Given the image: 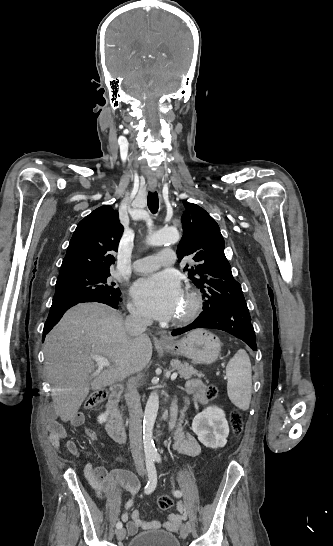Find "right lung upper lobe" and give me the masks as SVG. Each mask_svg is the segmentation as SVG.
<instances>
[{"label": "right lung upper lobe", "mask_w": 333, "mask_h": 546, "mask_svg": "<svg viewBox=\"0 0 333 546\" xmlns=\"http://www.w3.org/2000/svg\"><path fill=\"white\" fill-rule=\"evenodd\" d=\"M124 231L118 212L109 205L97 208L79 222L63 259L59 276L110 271Z\"/></svg>", "instance_id": "cb5924a9"}]
</instances>
